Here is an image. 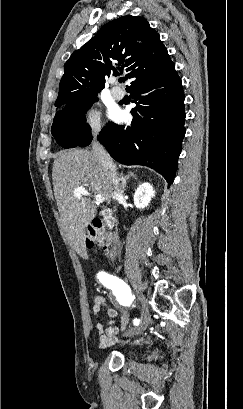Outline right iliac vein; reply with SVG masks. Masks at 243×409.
<instances>
[{
    "mask_svg": "<svg viewBox=\"0 0 243 409\" xmlns=\"http://www.w3.org/2000/svg\"><path fill=\"white\" fill-rule=\"evenodd\" d=\"M139 299L142 302V311H141V319H140V323L139 325L135 326L132 329H129L125 335L126 336H133V335H138L141 334L149 325V313L146 307V303H145V298L143 295H139Z\"/></svg>",
    "mask_w": 243,
    "mask_h": 409,
    "instance_id": "obj_1",
    "label": "right iliac vein"
}]
</instances>
